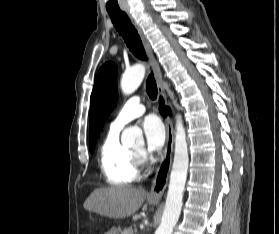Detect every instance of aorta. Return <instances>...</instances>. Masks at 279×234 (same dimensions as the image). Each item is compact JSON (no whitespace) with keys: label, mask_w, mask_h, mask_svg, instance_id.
Returning a JSON list of instances; mask_svg holds the SVG:
<instances>
[{"label":"aorta","mask_w":279,"mask_h":234,"mask_svg":"<svg viewBox=\"0 0 279 234\" xmlns=\"http://www.w3.org/2000/svg\"><path fill=\"white\" fill-rule=\"evenodd\" d=\"M145 76V67L137 64L126 70L121 78V90L125 95L133 93L142 83ZM142 140V132L136 128H127L123 131L121 142L124 146H132ZM189 165L188 145L186 132L181 116H177L175 128V150L172 171L170 174L165 209L161 224L155 234H172L182 207L183 191L187 179Z\"/></svg>","instance_id":"762f6f07"}]
</instances>
